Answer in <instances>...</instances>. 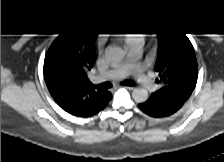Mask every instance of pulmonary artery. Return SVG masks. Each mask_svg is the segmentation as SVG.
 Returning <instances> with one entry per match:
<instances>
[{"instance_id":"obj_1","label":"pulmonary artery","mask_w":224,"mask_h":162,"mask_svg":"<svg viewBox=\"0 0 224 162\" xmlns=\"http://www.w3.org/2000/svg\"><path fill=\"white\" fill-rule=\"evenodd\" d=\"M140 56V48L137 46L133 49L132 53L128 56L127 61L123 65L110 69L97 79L101 81H117L127 76H131L134 81L144 88L148 90L155 89L156 84L141 67Z\"/></svg>"}]
</instances>
